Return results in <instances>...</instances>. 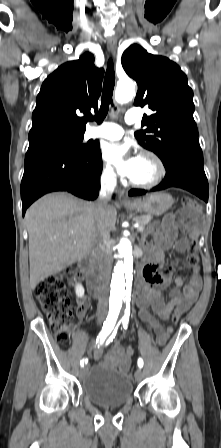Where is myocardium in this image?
I'll use <instances>...</instances> for the list:
<instances>
[{"label":"myocardium","instance_id":"myocardium-1","mask_svg":"<svg viewBox=\"0 0 221 448\" xmlns=\"http://www.w3.org/2000/svg\"><path fill=\"white\" fill-rule=\"evenodd\" d=\"M140 157L147 158L153 163L155 169V175L151 179L145 181L130 179V183L133 186L141 188H151L157 186L164 180L167 174V167L164 161L158 154H156L151 150L142 151L140 153Z\"/></svg>","mask_w":221,"mask_h":448}]
</instances>
